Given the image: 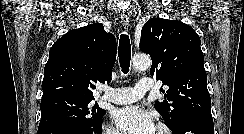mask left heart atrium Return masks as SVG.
Here are the masks:
<instances>
[{
  "mask_svg": "<svg viewBox=\"0 0 244 134\" xmlns=\"http://www.w3.org/2000/svg\"><path fill=\"white\" fill-rule=\"evenodd\" d=\"M113 118L123 134H154L156 129L151 115L136 106L116 110Z\"/></svg>",
  "mask_w": 244,
  "mask_h": 134,
  "instance_id": "1",
  "label": "left heart atrium"
}]
</instances>
